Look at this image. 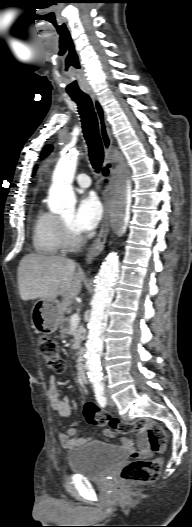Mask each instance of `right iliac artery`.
<instances>
[{"mask_svg": "<svg viewBox=\"0 0 192 527\" xmlns=\"http://www.w3.org/2000/svg\"><path fill=\"white\" fill-rule=\"evenodd\" d=\"M94 392L96 396V400L98 403L104 407L106 405V397L104 394V385L103 384H95L94 385Z\"/></svg>", "mask_w": 192, "mask_h": 527, "instance_id": "1", "label": "right iliac artery"}]
</instances>
